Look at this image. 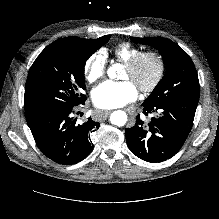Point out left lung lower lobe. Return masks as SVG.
I'll return each mask as SVG.
<instances>
[{
    "label": "left lung lower lobe",
    "instance_id": "0a47b994",
    "mask_svg": "<svg viewBox=\"0 0 219 219\" xmlns=\"http://www.w3.org/2000/svg\"><path fill=\"white\" fill-rule=\"evenodd\" d=\"M199 95H186L167 103L144 102V113H160L145 124L140 115L132 128L125 130L129 149L147 162H162L173 157L188 137L198 105Z\"/></svg>",
    "mask_w": 219,
    "mask_h": 219
}]
</instances>
